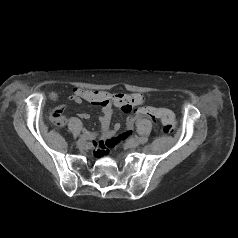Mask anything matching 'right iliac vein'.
Masks as SVG:
<instances>
[{
	"label": "right iliac vein",
	"mask_w": 238,
	"mask_h": 238,
	"mask_svg": "<svg viewBox=\"0 0 238 238\" xmlns=\"http://www.w3.org/2000/svg\"><path fill=\"white\" fill-rule=\"evenodd\" d=\"M77 146H78L79 148H85V147L87 146V141H86V139H79V140L77 141Z\"/></svg>",
	"instance_id": "right-iliac-vein-1"
}]
</instances>
